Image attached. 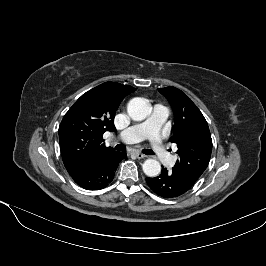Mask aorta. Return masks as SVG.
<instances>
[{
  "mask_svg": "<svg viewBox=\"0 0 266 266\" xmlns=\"http://www.w3.org/2000/svg\"><path fill=\"white\" fill-rule=\"evenodd\" d=\"M127 113L131 119L142 121L148 116V106L141 98H133L127 106ZM144 173L149 177H156L161 172V165L155 159H147L142 165Z\"/></svg>",
  "mask_w": 266,
  "mask_h": 266,
  "instance_id": "aorta-1",
  "label": "aorta"
}]
</instances>
